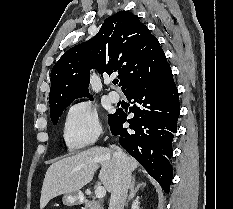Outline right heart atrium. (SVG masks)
I'll use <instances>...</instances> for the list:
<instances>
[{
  "label": "right heart atrium",
  "mask_w": 233,
  "mask_h": 209,
  "mask_svg": "<svg viewBox=\"0 0 233 209\" xmlns=\"http://www.w3.org/2000/svg\"><path fill=\"white\" fill-rule=\"evenodd\" d=\"M101 134L98 113L89 101L72 105L64 124V139L71 149H80L95 143Z\"/></svg>",
  "instance_id": "right-heart-atrium-1"
}]
</instances>
